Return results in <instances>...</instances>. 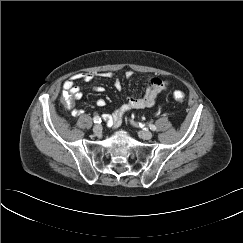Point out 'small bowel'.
<instances>
[{"label": "small bowel", "instance_id": "c3829d8e", "mask_svg": "<svg viewBox=\"0 0 243 243\" xmlns=\"http://www.w3.org/2000/svg\"><path fill=\"white\" fill-rule=\"evenodd\" d=\"M131 72H127L126 76L130 77ZM96 76H101L105 78H112L113 75L111 73H100L98 75L92 74L89 72H83L77 75H74L67 79L63 83V89L65 91V94H69L73 101L81 99L83 95V90L81 87L76 85V80H82L84 82H91ZM169 86V82L160 78V77H151L148 80L147 88L145 90V93L141 97H127L124 101V103L110 116L109 118V123L113 127H118L124 116L132 110H142L145 108L152 107L158 97L160 96L161 93H163ZM114 87L117 90L122 89V83L119 78L114 77ZM92 90L96 91L98 93H101L104 91V87L100 85H94L92 86ZM96 104L99 107L105 106L106 102L104 99L99 98L96 101ZM75 115H80L82 114V110L75 109L74 111Z\"/></svg>", "mask_w": 243, "mask_h": 243}]
</instances>
